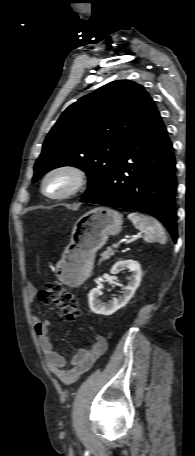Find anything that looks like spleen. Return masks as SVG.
Returning a JSON list of instances; mask_svg holds the SVG:
<instances>
[{
	"label": "spleen",
	"instance_id": "1",
	"mask_svg": "<svg viewBox=\"0 0 195 456\" xmlns=\"http://www.w3.org/2000/svg\"><path fill=\"white\" fill-rule=\"evenodd\" d=\"M128 219H130L134 226L143 233L146 242L154 240L161 243L166 242L164 229L155 218L132 212L128 214Z\"/></svg>",
	"mask_w": 195,
	"mask_h": 456
}]
</instances>
